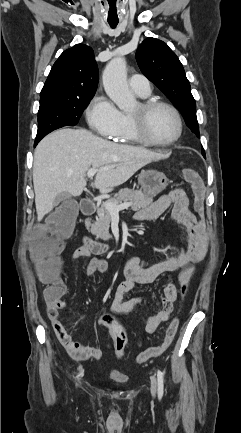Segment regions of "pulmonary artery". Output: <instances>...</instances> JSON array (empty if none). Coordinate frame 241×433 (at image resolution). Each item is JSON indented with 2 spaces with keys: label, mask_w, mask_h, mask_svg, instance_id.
<instances>
[{
  "label": "pulmonary artery",
  "mask_w": 241,
  "mask_h": 433,
  "mask_svg": "<svg viewBox=\"0 0 241 433\" xmlns=\"http://www.w3.org/2000/svg\"><path fill=\"white\" fill-rule=\"evenodd\" d=\"M131 89L139 96L146 97L151 93L149 80L140 74H134L129 79Z\"/></svg>",
  "instance_id": "obj_1"
}]
</instances>
